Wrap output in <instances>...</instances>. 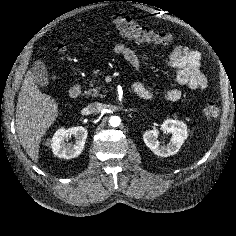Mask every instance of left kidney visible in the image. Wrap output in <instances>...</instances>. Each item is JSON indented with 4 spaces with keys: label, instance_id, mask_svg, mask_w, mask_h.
I'll list each match as a JSON object with an SVG mask.
<instances>
[{
    "label": "left kidney",
    "instance_id": "5707ae66",
    "mask_svg": "<svg viewBox=\"0 0 236 236\" xmlns=\"http://www.w3.org/2000/svg\"><path fill=\"white\" fill-rule=\"evenodd\" d=\"M161 130L172 134V138L167 145H161L157 140L158 130L146 131L143 135L144 143L152 152L160 157L176 154L188 137L186 124L182 121L168 119L161 125Z\"/></svg>",
    "mask_w": 236,
    "mask_h": 236
}]
</instances>
